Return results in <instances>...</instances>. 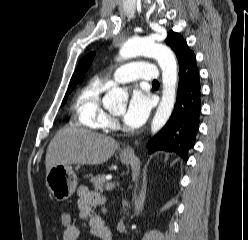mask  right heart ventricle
I'll use <instances>...</instances> for the list:
<instances>
[{
  "label": "right heart ventricle",
  "mask_w": 248,
  "mask_h": 240,
  "mask_svg": "<svg viewBox=\"0 0 248 240\" xmlns=\"http://www.w3.org/2000/svg\"><path fill=\"white\" fill-rule=\"evenodd\" d=\"M104 89L105 85L101 81L93 79L80 90L73 104L78 125L93 130L108 127L109 116L101 103Z\"/></svg>",
  "instance_id": "1"
}]
</instances>
